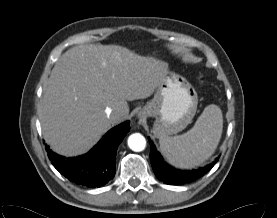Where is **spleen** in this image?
I'll return each instance as SVG.
<instances>
[{"label": "spleen", "instance_id": "obj_1", "mask_svg": "<svg viewBox=\"0 0 277 218\" xmlns=\"http://www.w3.org/2000/svg\"><path fill=\"white\" fill-rule=\"evenodd\" d=\"M222 130V111L217 105L211 104L205 107L193 128L186 133L174 137H160V149L176 167L199 166L215 152Z\"/></svg>", "mask_w": 277, "mask_h": 218}]
</instances>
